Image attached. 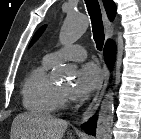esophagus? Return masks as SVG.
Instances as JSON below:
<instances>
[{"label": "esophagus", "instance_id": "34e87169", "mask_svg": "<svg viewBox=\"0 0 141 139\" xmlns=\"http://www.w3.org/2000/svg\"><path fill=\"white\" fill-rule=\"evenodd\" d=\"M103 20H104V25H105L106 39H111L113 38L112 23L108 19L104 10H103ZM108 80H109V69L107 65L104 64L102 68L101 81H100L99 87L97 89V92L92 102L87 107V109L85 110L82 116V119H81L82 123L88 121L96 113L100 105V102L104 96V93L106 91Z\"/></svg>", "mask_w": 141, "mask_h": 139}]
</instances>
